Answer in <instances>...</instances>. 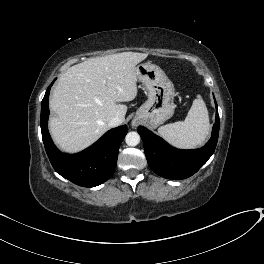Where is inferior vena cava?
I'll return each mask as SVG.
<instances>
[{
  "label": "inferior vena cava",
  "instance_id": "602c4592",
  "mask_svg": "<svg viewBox=\"0 0 264 264\" xmlns=\"http://www.w3.org/2000/svg\"><path fill=\"white\" fill-rule=\"evenodd\" d=\"M123 122V120H122V118H120V117H113L110 121H109V123H108V126L109 127H117V126H119L121 123Z\"/></svg>",
  "mask_w": 264,
  "mask_h": 264
}]
</instances>
